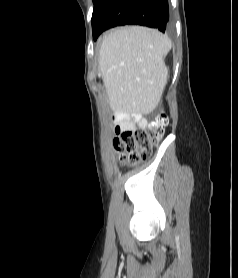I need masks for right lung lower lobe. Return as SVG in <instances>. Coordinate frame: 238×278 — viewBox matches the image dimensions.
I'll list each match as a JSON object with an SVG mask.
<instances>
[{"mask_svg":"<svg viewBox=\"0 0 238 278\" xmlns=\"http://www.w3.org/2000/svg\"><path fill=\"white\" fill-rule=\"evenodd\" d=\"M169 20L168 0H97L92 15L94 40L106 29L139 24L165 32Z\"/></svg>","mask_w":238,"mask_h":278,"instance_id":"right-lung-lower-lobe-1","label":"right lung lower lobe"}]
</instances>
